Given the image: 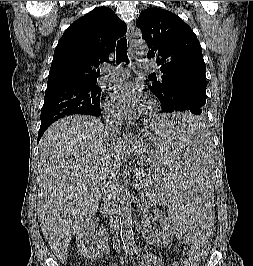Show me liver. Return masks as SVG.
<instances>
[{"mask_svg": "<svg viewBox=\"0 0 253 266\" xmlns=\"http://www.w3.org/2000/svg\"><path fill=\"white\" fill-rule=\"evenodd\" d=\"M129 152L107 139L91 116H69L52 124L39 142L38 215L43 235L58 259L72 236L96 213L109 174H117Z\"/></svg>", "mask_w": 253, "mask_h": 266, "instance_id": "1", "label": "liver"}]
</instances>
